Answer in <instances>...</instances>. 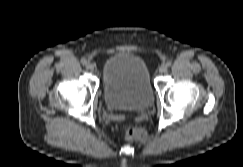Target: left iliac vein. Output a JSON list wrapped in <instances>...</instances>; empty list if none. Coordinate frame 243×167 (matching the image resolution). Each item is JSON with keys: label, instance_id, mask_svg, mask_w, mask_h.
<instances>
[{"label": "left iliac vein", "instance_id": "4c4485c4", "mask_svg": "<svg viewBox=\"0 0 243 167\" xmlns=\"http://www.w3.org/2000/svg\"><path fill=\"white\" fill-rule=\"evenodd\" d=\"M166 71H167V66L165 64L159 66L160 73H165Z\"/></svg>", "mask_w": 243, "mask_h": 167}]
</instances>
